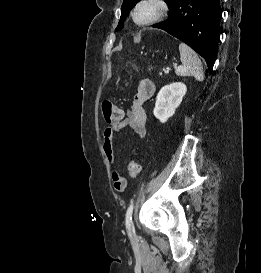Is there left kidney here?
Instances as JSON below:
<instances>
[{
	"instance_id": "obj_1",
	"label": "left kidney",
	"mask_w": 261,
	"mask_h": 273,
	"mask_svg": "<svg viewBox=\"0 0 261 273\" xmlns=\"http://www.w3.org/2000/svg\"><path fill=\"white\" fill-rule=\"evenodd\" d=\"M187 87L181 82L171 83L162 87L157 94L156 103L153 110L154 116L161 122L165 123L175 113L176 108L182 102Z\"/></svg>"
}]
</instances>
